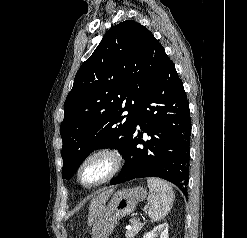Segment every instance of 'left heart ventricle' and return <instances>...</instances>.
<instances>
[{"instance_id": "obj_1", "label": "left heart ventricle", "mask_w": 247, "mask_h": 238, "mask_svg": "<svg viewBox=\"0 0 247 238\" xmlns=\"http://www.w3.org/2000/svg\"><path fill=\"white\" fill-rule=\"evenodd\" d=\"M110 169V163L105 158L91 161L82 171V179L86 183L95 182L104 177Z\"/></svg>"}]
</instances>
